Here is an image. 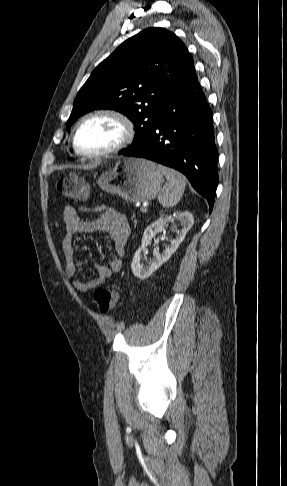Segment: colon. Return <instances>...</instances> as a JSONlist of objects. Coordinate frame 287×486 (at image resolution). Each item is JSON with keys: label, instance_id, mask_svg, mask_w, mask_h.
Returning a JSON list of instances; mask_svg holds the SVG:
<instances>
[{"label": "colon", "instance_id": "5ec220e1", "mask_svg": "<svg viewBox=\"0 0 287 486\" xmlns=\"http://www.w3.org/2000/svg\"><path fill=\"white\" fill-rule=\"evenodd\" d=\"M55 187L60 194L71 199L84 200L89 195L88 182L77 174H69L59 178ZM93 299L98 309L107 313L117 306L119 294L110 288L100 287L95 290Z\"/></svg>", "mask_w": 287, "mask_h": 486}]
</instances>
